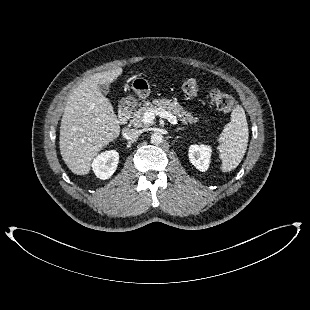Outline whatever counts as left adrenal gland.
<instances>
[{
    "label": "left adrenal gland",
    "instance_id": "a2214340",
    "mask_svg": "<svg viewBox=\"0 0 310 310\" xmlns=\"http://www.w3.org/2000/svg\"><path fill=\"white\" fill-rule=\"evenodd\" d=\"M184 129H185V127H179V128L176 129V131L184 130Z\"/></svg>",
    "mask_w": 310,
    "mask_h": 310
}]
</instances>
